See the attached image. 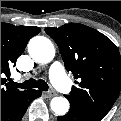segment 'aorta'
<instances>
[{"label": "aorta", "instance_id": "aorta-1", "mask_svg": "<svg viewBox=\"0 0 121 121\" xmlns=\"http://www.w3.org/2000/svg\"><path fill=\"white\" fill-rule=\"evenodd\" d=\"M28 52L36 62L42 64L51 62L55 56L53 43L43 36H35L30 40ZM50 106L57 115H65L69 110V102L64 97H54L51 100Z\"/></svg>", "mask_w": 121, "mask_h": 121}]
</instances>
